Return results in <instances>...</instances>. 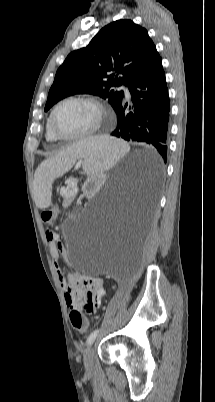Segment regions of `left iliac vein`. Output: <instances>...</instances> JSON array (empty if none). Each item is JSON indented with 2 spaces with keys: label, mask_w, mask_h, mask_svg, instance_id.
I'll return each mask as SVG.
<instances>
[{
  "label": "left iliac vein",
  "mask_w": 215,
  "mask_h": 402,
  "mask_svg": "<svg viewBox=\"0 0 215 402\" xmlns=\"http://www.w3.org/2000/svg\"><path fill=\"white\" fill-rule=\"evenodd\" d=\"M93 354H94V347L93 345H89L84 355V364L87 370H90L93 366Z\"/></svg>",
  "instance_id": "left-iliac-vein-1"
}]
</instances>
